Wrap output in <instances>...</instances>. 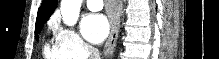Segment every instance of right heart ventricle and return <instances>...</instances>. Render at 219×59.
I'll list each match as a JSON object with an SVG mask.
<instances>
[{
    "label": "right heart ventricle",
    "mask_w": 219,
    "mask_h": 59,
    "mask_svg": "<svg viewBox=\"0 0 219 59\" xmlns=\"http://www.w3.org/2000/svg\"><path fill=\"white\" fill-rule=\"evenodd\" d=\"M42 54L46 59H69V56L60 46L55 35L51 41L44 43Z\"/></svg>",
    "instance_id": "obj_1"
}]
</instances>
